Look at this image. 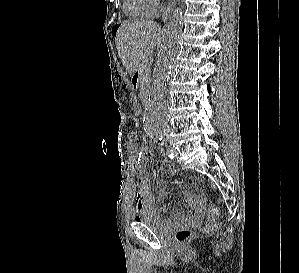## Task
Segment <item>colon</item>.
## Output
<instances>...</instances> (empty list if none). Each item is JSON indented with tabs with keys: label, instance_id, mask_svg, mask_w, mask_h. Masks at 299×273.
Masks as SVG:
<instances>
[{
	"label": "colon",
	"instance_id": "1",
	"mask_svg": "<svg viewBox=\"0 0 299 273\" xmlns=\"http://www.w3.org/2000/svg\"><path fill=\"white\" fill-rule=\"evenodd\" d=\"M141 145H142V149L148 150V142H147V138L145 136H143L140 139ZM219 215V209L217 206L215 205H210L207 208V219L209 221H214ZM213 226L208 225L205 227V230H209L211 229ZM192 232L190 229L188 228H181L179 230L176 231L175 233V238L179 243L185 242L187 241L190 236H191Z\"/></svg>",
	"mask_w": 299,
	"mask_h": 273
}]
</instances>
